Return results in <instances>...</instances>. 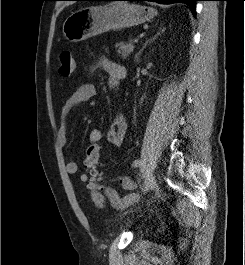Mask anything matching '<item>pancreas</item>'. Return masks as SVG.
I'll return each instance as SVG.
<instances>
[{"mask_svg":"<svg viewBox=\"0 0 245 265\" xmlns=\"http://www.w3.org/2000/svg\"><path fill=\"white\" fill-rule=\"evenodd\" d=\"M134 50L132 43H122L119 45L117 50L118 54L121 55L122 59H126Z\"/></svg>","mask_w":245,"mask_h":265,"instance_id":"obj_1","label":"pancreas"}]
</instances>
